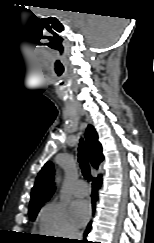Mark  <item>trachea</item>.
<instances>
[{
    "instance_id": "trachea-1",
    "label": "trachea",
    "mask_w": 154,
    "mask_h": 243,
    "mask_svg": "<svg viewBox=\"0 0 154 243\" xmlns=\"http://www.w3.org/2000/svg\"><path fill=\"white\" fill-rule=\"evenodd\" d=\"M78 150H79L78 161H79L83 176L88 181H91L92 177H91L90 167H89V163H88L86 152H85L83 139H80V144H79Z\"/></svg>"
}]
</instances>
